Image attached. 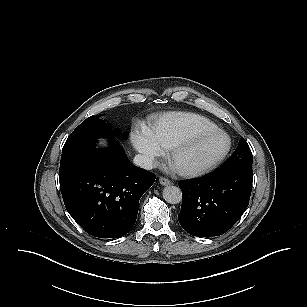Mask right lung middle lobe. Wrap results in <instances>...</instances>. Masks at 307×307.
<instances>
[{
	"mask_svg": "<svg viewBox=\"0 0 307 307\" xmlns=\"http://www.w3.org/2000/svg\"><path fill=\"white\" fill-rule=\"evenodd\" d=\"M100 116H91L84 120L68 137L62 149V154L83 144L96 141L99 136L113 139L114 135H119L120 132L115 131L117 134H114L110 126L104 120L99 119ZM122 136L126 137L127 134L124 133Z\"/></svg>",
	"mask_w": 307,
	"mask_h": 307,
	"instance_id": "right-lung-middle-lobe-1",
	"label": "right lung middle lobe"
}]
</instances>
